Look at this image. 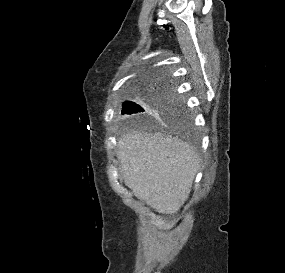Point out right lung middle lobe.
I'll return each instance as SVG.
<instances>
[{"mask_svg":"<svg viewBox=\"0 0 285 273\" xmlns=\"http://www.w3.org/2000/svg\"><path fill=\"white\" fill-rule=\"evenodd\" d=\"M122 114H133V119L148 122L153 115L159 114L162 121L169 126L186 129L190 120L183 113L171 86L159 78H153L143 90L136 102L126 101Z\"/></svg>","mask_w":285,"mask_h":273,"instance_id":"1","label":"right lung middle lobe"}]
</instances>
